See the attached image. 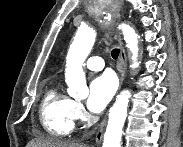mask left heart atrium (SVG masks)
<instances>
[{
	"mask_svg": "<svg viewBox=\"0 0 183 147\" xmlns=\"http://www.w3.org/2000/svg\"><path fill=\"white\" fill-rule=\"evenodd\" d=\"M117 88L113 75L104 73L90 83L87 105L90 111L99 113L108 105Z\"/></svg>",
	"mask_w": 183,
	"mask_h": 147,
	"instance_id": "obj_1",
	"label": "left heart atrium"
}]
</instances>
